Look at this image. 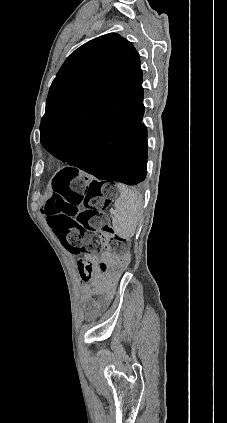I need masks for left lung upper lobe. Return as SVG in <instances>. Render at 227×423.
<instances>
[{"label":"left lung upper lobe","mask_w":227,"mask_h":423,"mask_svg":"<svg viewBox=\"0 0 227 423\" xmlns=\"http://www.w3.org/2000/svg\"><path fill=\"white\" fill-rule=\"evenodd\" d=\"M140 56L116 33L76 49L53 80L41 119V144L81 135L107 113L144 111Z\"/></svg>","instance_id":"1"}]
</instances>
